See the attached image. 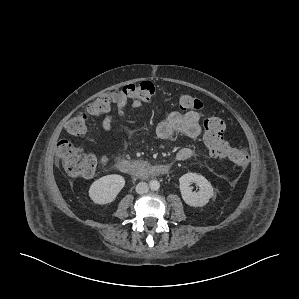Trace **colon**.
I'll return each instance as SVG.
<instances>
[{
    "mask_svg": "<svg viewBox=\"0 0 299 299\" xmlns=\"http://www.w3.org/2000/svg\"><path fill=\"white\" fill-rule=\"evenodd\" d=\"M123 93L132 100L140 102L149 101L154 93L155 86L152 82L144 81L130 84L122 89ZM179 107L183 111H198L203 107L202 101L194 94L184 91L178 97ZM110 110V99L102 95L88 104L86 111L76 114L66 124L67 132L72 136L82 137L87 133L89 116H100ZM225 123L218 116H210L204 121V142L210 155L215 159L228 158L239 167L248 164L249 156L244 150L234 148L224 138ZM57 155L63 169L70 176L91 177L104 161H99L95 156L86 154L79 146L68 140H62L57 145Z\"/></svg>",
    "mask_w": 299,
    "mask_h": 299,
    "instance_id": "1",
    "label": "colon"
}]
</instances>
